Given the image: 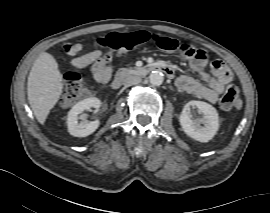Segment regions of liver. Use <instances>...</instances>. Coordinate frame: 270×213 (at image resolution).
<instances>
[{"label":"liver","mask_w":270,"mask_h":213,"mask_svg":"<svg viewBox=\"0 0 270 213\" xmlns=\"http://www.w3.org/2000/svg\"><path fill=\"white\" fill-rule=\"evenodd\" d=\"M62 91L63 77L57 61L51 54L41 53L31 68L27 82L28 101L40 124L45 123Z\"/></svg>","instance_id":"6515ba94"}]
</instances>
